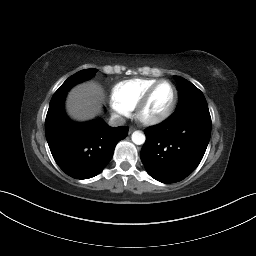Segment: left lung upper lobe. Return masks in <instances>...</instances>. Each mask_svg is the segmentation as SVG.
<instances>
[{
  "instance_id": "1",
  "label": "left lung upper lobe",
  "mask_w": 256,
  "mask_h": 256,
  "mask_svg": "<svg viewBox=\"0 0 256 256\" xmlns=\"http://www.w3.org/2000/svg\"><path fill=\"white\" fill-rule=\"evenodd\" d=\"M178 84L179 101L175 112L186 108L200 107L208 109V105L203 93L186 79L174 76Z\"/></svg>"
}]
</instances>
